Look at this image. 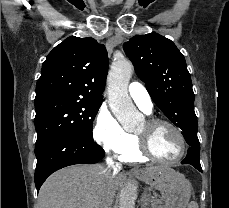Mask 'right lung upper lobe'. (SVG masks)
<instances>
[{
	"mask_svg": "<svg viewBox=\"0 0 229 208\" xmlns=\"http://www.w3.org/2000/svg\"><path fill=\"white\" fill-rule=\"evenodd\" d=\"M107 73L108 56L103 44L91 37H68L44 61L35 101L69 96L102 103Z\"/></svg>",
	"mask_w": 229,
	"mask_h": 208,
	"instance_id": "obj_1",
	"label": "right lung upper lobe"
}]
</instances>
